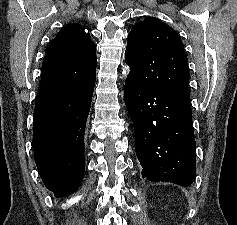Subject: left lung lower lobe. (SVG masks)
Returning <instances> with one entry per match:
<instances>
[{
	"instance_id": "left-lung-lower-lobe-1",
	"label": "left lung lower lobe",
	"mask_w": 237,
	"mask_h": 225,
	"mask_svg": "<svg viewBox=\"0 0 237 225\" xmlns=\"http://www.w3.org/2000/svg\"><path fill=\"white\" fill-rule=\"evenodd\" d=\"M124 98L142 177L190 186L196 176V143L189 92L144 88L129 74Z\"/></svg>"
}]
</instances>
